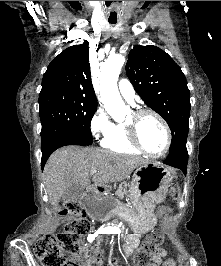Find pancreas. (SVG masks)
Returning a JSON list of instances; mask_svg holds the SVG:
<instances>
[{
  "label": "pancreas",
  "instance_id": "obj_1",
  "mask_svg": "<svg viewBox=\"0 0 221 266\" xmlns=\"http://www.w3.org/2000/svg\"><path fill=\"white\" fill-rule=\"evenodd\" d=\"M127 185L125 182L121 183L116 191V194L119 198L123 199L124 195L128 194Z\"/></svg>",
  "mask_w": 221,
  "mask_h": 266
}]
</instances>
